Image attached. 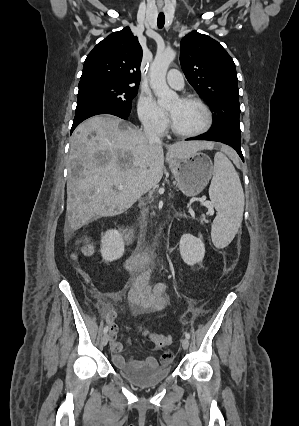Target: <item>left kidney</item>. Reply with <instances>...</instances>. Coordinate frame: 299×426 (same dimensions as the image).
I'll return each instance as SVG.
<instances>
[{
  "label": "left kidney",
  "mask_w": 299,
  "mask_h": 426,
  "mask_svg": "<svg viewBox=\"0 0 299 426\" xmlns=\"http://www.w3.org/2000/svg\"><path fill=\"white\" fill-rule=\"evenodd\" d=\"M180 255L183 261L193 266L200 263L205 256V246L202 241V235L194 237L191 234H184L179 242Z\"/></svg>",
  "instance_id": "5707ae66"
}]
</instances>
